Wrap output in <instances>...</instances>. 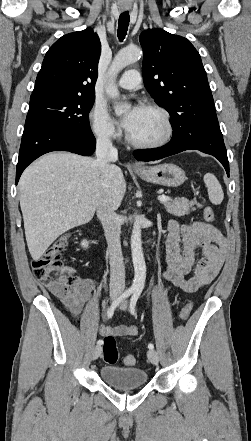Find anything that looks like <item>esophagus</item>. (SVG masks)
Returning <instances> with one entry per match:
<instances>
[{"label": "esophagus", "mask_w": 251, "mask_h": 441, "mask_svg": "<svg viewBox=\"0 0 251 441\" xmlns=\"http://www.w3.org/2000/svg\"><path fill=\"white\" fill-rule=\"evenodd\" d=\"M123 10H126V8H123ZM133 168H141V165L138 163H132L131 165Z\"/></svg>", "instance_id": "esophagus-1"}]
</instances>
